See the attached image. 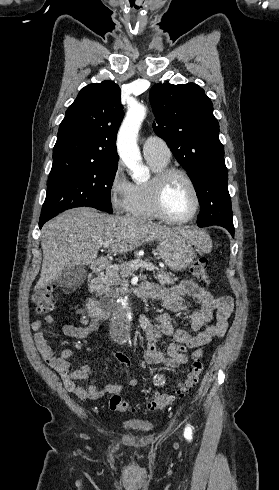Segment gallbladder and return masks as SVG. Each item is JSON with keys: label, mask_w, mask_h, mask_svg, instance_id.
I'll list each match as a JSON object with an SVG mask.
<instances>
[{"label": "gallbladder", "mask_w": 279, "mask_h": 490, "mask_svg": "<svg viewBox=\"0 0 279 490\" xmlns=\"http://www.w3.org/2000/svg\"><path fill=\"white\" fill-rule=\"evenodd\" d=\"M87 276L85 266H69L62 270L56 284L60 288H80L84 284Z\"/></svg>", "instance_id": "bac80fb5"}]
</instances>
